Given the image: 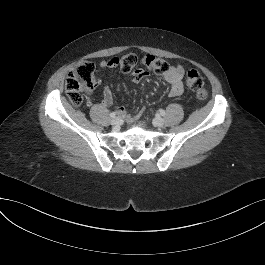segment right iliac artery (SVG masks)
<instances>
[{"label":"right iliac artery","mask_w":265,"mask_h":265,"mask_svg":"<svg viewBox=\"0 0 265 265\" xmlns=\"http://www.w3.org/2000/svg\"><path fill=\"white\" fill-rule=\"evenodd\" d=\"M110 117L111 118H115L116 117V114L114 112L110 113Z\"/></svg>","instance_id":"obj_1"}]
</instances>
